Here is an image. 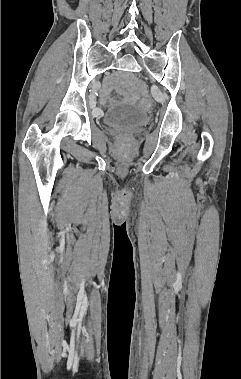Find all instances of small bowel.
I'll list each match as a JSON object with an SVG mask.
<instances>
[{"label": "small bowel", "instance_id": "small-bowel-1", "mask_svg": "<svg viewBox=\"0 0 241 379\" xmlns=\"http://www.w3.org/2000/svg\"><path fill=\"white\" fill-rule=\"evenodd\" d=\"M113 88V82L112 81H106L102 87V89L99 92V102L101 104H106L108 100V94ZM124 98L127 102L135 103L137 101V96L132 94H125Z\"/></svg>", "mask_w": 241, "mask_h": 379}]
</instances>
